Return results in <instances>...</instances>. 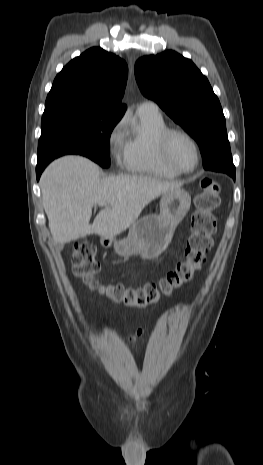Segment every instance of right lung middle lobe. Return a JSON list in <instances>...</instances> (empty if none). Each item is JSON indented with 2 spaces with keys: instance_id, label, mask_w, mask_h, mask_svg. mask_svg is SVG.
Here are the masks:
<instances>
[{
  "instance_id": "obj_1",
  "label": "right lung middle lobe",
  "mask_w": 263,
  "mask_h": 465,
  "mask_svg": "<svg viewBox=\"0 0 263 465\" xmlns=\"http://www.w3.org/2000/svg\"><path fill=\"white\" fill-rule=\"evenodd\" d=\"M124 111L79 104L45 106L38 143V166L65 154H80L109 167V140Z\"/></svg>"
}]
</instances>
